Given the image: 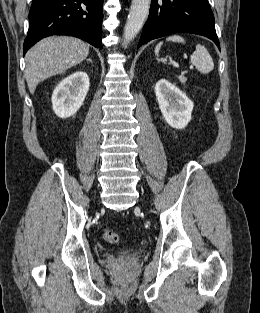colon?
Segmentation results:
<instances>
[{"mask_svg":"<svg viewBox=\"0 0 260 313\" xmlns=\"http://www.w3.org/2000/svg\"><path fill=\"white\" fill-rule=\"evenodd\" d=\"M103 238L106 242L110 244H118L120 241L119 235L110 229H105L103 231Z\"/></svg>","mask_w":260,"mask_h":313,"instance_id":"5ec220e1","label":"colon"}]
</instances>
